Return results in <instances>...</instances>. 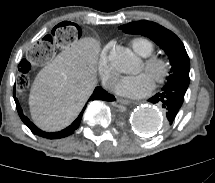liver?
Listing matches in <instances>:
<instances>
[{"label":"liver","mask_w":215,"mask_h":183,"mask_svg":"<svg viewBox=\"0 0 215 183\" xmlns=\"http://www.w3.org/2000/svg\"><path fill=\"white\" fill-rule=\"evenodd\" d=\"M99 50L94 38L80 39L37 74L29 95L36 126L54 132L76 119L96 86Z\"/></svg>","instance_id":"1"}]
</instances>
